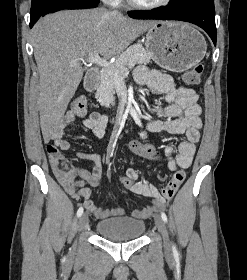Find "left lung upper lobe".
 <instances>
[{
	"label": "left lung upper lobe",
	"instance_id": "obj_1",
	"mask_svg": "<svg viewBox=\"0 0 247 280\" xmlns=\"http://www.w3.org/2000/svg\"><path fill=\"white\" fill-rule=\"evenodd\" d=\"M197 2H214V0H172L170 6L171 7L184 6Z\"/></svg>",
	"mask_w": 247,
	"mask_h": 280
}]
</instances>
